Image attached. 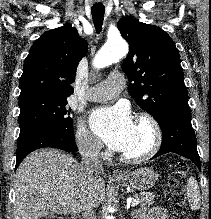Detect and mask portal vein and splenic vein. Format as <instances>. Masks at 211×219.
<instances>
[{
	"label": "portal vein and splenic vein",
	"mask_w": 211,
	"mask_h": 219,
	"mask_svg": "<svg viewBox=\"0 0 211 219\" xmlns=\"http://www.w3.org/2000/svg\"><path fill=\"white\" fill-rule=\"evenodd\" d=\"M128 202L132 207L136 206L139 203V201L136 198H129Z\"/></svg>",
	"instance_id": "1"
}]
</instances>
